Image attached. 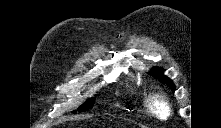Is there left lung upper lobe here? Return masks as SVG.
Listing matches in <instances>:
<instances>
[{
	"label": "left lung upper lobe",
	"instance_id": "left-lung-upper-lobe-1",
	"mask_svg": "<svg viewBox=\"0 0 221 128\" xmlns=\"http://www.w3.org/2000/svg\"><path fill=\"white\" fill-rule=\"evenodd\" d=\"M163 72H164L163 69L155 67L149 73L155 78H157L159 81H161L162 83L167 84L173 91H175L174 83L167 76L163 75Z\"/></svg>",
	"mask_w": 221,
	"mask_h": 128
}]
</instances>
